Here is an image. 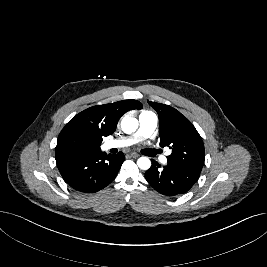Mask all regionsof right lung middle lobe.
Wrapping results in <instances>:
<instances>
[{
	"label": "right lung middle lobe",
	"instance_id": "dd1d6c3e",
	"mask_svg": "<svg viewBox=\"0 0 267 267\" xmlns=\"http://www.w3.org/2000/svg\"><path fill=\"white\" fill-rule=\"evenodd\" d=\"M99 149V145L91 143L80 135H67L58 139L55 154H82Z\"/></svg>",
	"mask_w": 267,
	"mask_h": 267
}]
</instances>
